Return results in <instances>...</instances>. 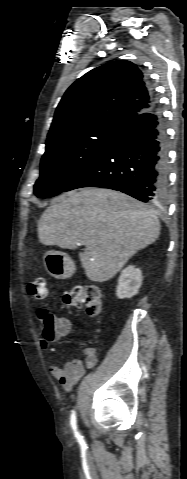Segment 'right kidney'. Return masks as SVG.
Segmentation results:
<instances>
[{
    "instance_id": "1",
    "label": "right kidney",
    "mask_w": 187,
    "mask_h": 479,
    "mask_svg": "<svg viewBox=\"0 0 187 479\" xmlns=\"http://www.w3.org/2000/svg\"><path fill=\"white\" fill-rule=\"evenodd\" d=\"M142 271L130 265L126 267L118 279L116 296L119 299L132 298L135 296L142 285Z\"/></svg>"
}]
</instances>
